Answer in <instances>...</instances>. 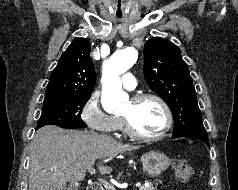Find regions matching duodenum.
I'll return each mask as SVG.
<instances>
[{
  "label": "duodenum",
  "instance_id": "1",
  "mask_svg": "<svg viewBox=\"0 0 238 190\" xmlns=\"http://www.w3.org/2000/svg\"><path fill=\"white\" fill-rule=\"evenodd\" d=\"M87 190H102V187L98 183H92L88 186Z\"/></svg>",
  "mask_w": 238,
  "mask_h": 190
}]
</instances>
